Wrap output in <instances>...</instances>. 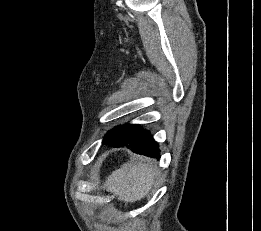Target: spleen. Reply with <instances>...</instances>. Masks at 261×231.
I'll return each mask as SVG.
<instances>
[{
    "instance_id": "3e777b00",
    "label": "spleen",
    "mask_w": 261,
    "mask_h": 231,
    "mask_svg": "<svg viewBox=\"0 0 261 231\" xmlns=\"http://www.w3.org/2000/svg\"><path fill=\"white\" fill-rule=\"evenodd\" d=\"M160 176L151 161L136 157L115 170L105 181L104 188L125 202H135L144 198L151 190L154 181Z\"/></svg>"
}]
</instances>
